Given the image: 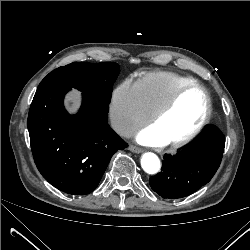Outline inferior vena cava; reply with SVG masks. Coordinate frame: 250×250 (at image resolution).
<instances>
[{
  "instance_id": "inferior-vena-cava-1",
  "label": "inferior vena cava",
  "mask_w": 250,
  "mask_h": 250,
  "mask_svg": "<svg viewBox=\"0 0 250 250\" xmlns=\"http://www.w3.org/2000/svg\"><path fill=\"white\" fill-rule=\"evenodd\" d=\"M111 126L117 134L124 137H131L134 133L132 126L128 122L120 119H112Z\"/></svg>"
}]
</instances>
